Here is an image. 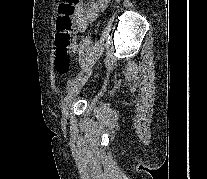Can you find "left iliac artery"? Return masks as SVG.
Returning a JSON list of instances; mask_svg holds the SVG:
<instances>
[{"instance_id":"left-iliac-artery-1","label":"left iliac artery","mask_w":207,"mask_h":179,"mask_svg":"<svg viewBox=\"0 0 207 179\" xmlns=\"http://www.w3.org/2000/svg\"><path fill=\"white\" fill-rule=\"evenodd\" d=\"M83 72L80 71L68 84L67 90L69 91L72 86L81 78Z\"/></svg>"}]
</instances>
